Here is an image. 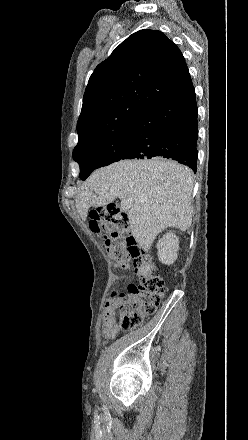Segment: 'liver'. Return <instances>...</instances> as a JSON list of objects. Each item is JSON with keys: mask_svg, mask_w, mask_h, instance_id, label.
Listing matches in <instances>:
<instances>
[{"mask_svg": "<svg viewBox=\"0 0 248 440\" xmlns=\"http://www.w3.org/2000/svg\"><path fill=\"white\" fill-rule=\"evenodd\" d=\"M193 185L192 171L174 161L121 160L90 175L76 197V208L86 220L90 207L105 206L117 197L133 200L128 212L131 233L148 253L157 235L168 227L184 232L191 226ZM151 259L142 262L146 273L153 269Z\"/></svg>", "mask_w": 248, "mask_h": 440, "instance_id": "obj_1", "label": "liver"}]
</instances>
